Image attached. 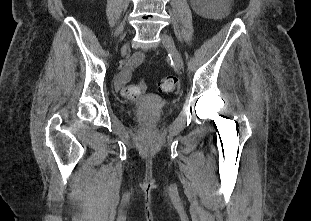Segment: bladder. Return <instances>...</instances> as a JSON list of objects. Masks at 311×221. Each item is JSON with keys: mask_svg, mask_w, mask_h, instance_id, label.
<instances>
[{"mask_svg": "<svg viewBox=\"0 0 311 221\" xmlns=\"http://www.w3.org/2000/svg\"><path fill=\"white\" fill-rule=\"evenodd\" d=\"M142 97H143V99H144V101L146 102V103H143V106L141 107V108H146V109H151V108H155V107H152V103H153V101H154V98L152 97V95L151 94H145V95H142ZM147 103H149V104H147ZM160 120L161 119H158V118H153L152 120H151V123H153V124H158L159 122H160Z\"/></svg>", "mask_w": 311, "mask_h": 221, "instance_id": "obj_1", "label": "bladder"}]
</instances>
